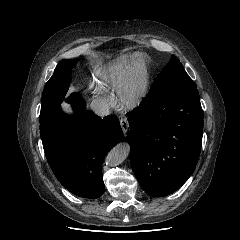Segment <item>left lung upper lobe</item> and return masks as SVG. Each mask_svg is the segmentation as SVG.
Segmentation results:
<instances>
[{"label": "left lung upper lobe", "mask_w": 240, "mask_h": 240, "mask_svg": "<svg viewBox=\"0 0 240 240\" xmlns=\"http://www.w3.org/2000/svg\"><path fill=\"white\" fill-rule=\"evenodd\" d=\"M169 87L197 88L194 81L188 76L183 65L176 56H172L169 63L163 68L150 88L149 94H155Z\"/></svg>", "instance_id": "left-lung-upper-lobe-1"}]
</instances>
